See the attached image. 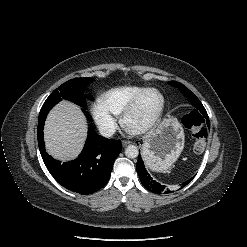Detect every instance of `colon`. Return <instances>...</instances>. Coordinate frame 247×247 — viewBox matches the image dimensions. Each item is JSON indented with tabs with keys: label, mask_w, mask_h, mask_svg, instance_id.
Returning a JSON list of instances; mask_svg holds the SVG:
<instances>
[{
	"label": "colon",
	"mask_w": 247,
	"mask_h": 247,
	"mask_svg": "<svg viewBox=\"0 0 247 247\" xmlns=\"http://www.w3.org/2000/svg\"><path fill=\"white\" fill-rule=\"evenodd\" d=\"M182 122L192 133L194 151L197 153L203 152L206 147V132L202 127V115L197 111H191L183 116Z\"/></svg>",
	"instance_id": "colon-1"
}]
</instances>
